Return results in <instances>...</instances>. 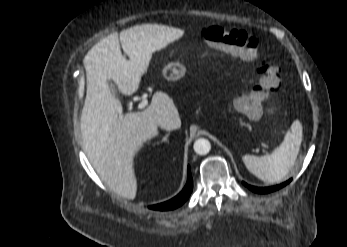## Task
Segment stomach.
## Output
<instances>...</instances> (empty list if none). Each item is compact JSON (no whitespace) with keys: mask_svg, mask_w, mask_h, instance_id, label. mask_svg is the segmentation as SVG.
I'll return each mask as SVG.
<instances>
[{"mask_svg":"<svg viewBox=\"0 0 347 247\" xmlns=\"http://www.w3.org/2000/svg\"><path fill=\"white\" fill-rule=\"evenodd\" d=\"M163 76L167 80H178L185 74V68L178 64H168L164 67Z\"/></svg>","mask_w":347,"mask_h":247,"instance_id":"stomach-1","label":"stomach"}]
</instances>
